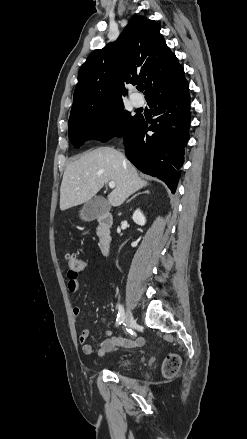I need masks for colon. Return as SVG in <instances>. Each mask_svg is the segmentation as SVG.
Instances as JSON below:
<instances>
[{"label":"colon","instance_id":"1","mask_svg":"<svg viewBox=\"0 0 247 439\" xmlns=\"http://www.w3.org/2000/svg\"><path fill=\"white\" fill-rule=\"evenodd\" d=\"M69 270L73 272H81L85 269V261L73 254L67 255ZM180 367V358L177 355H169L163 363V374L166 378H173Z\"/></svg>","mask_w":247,"mask_h":439}]
</instances>
